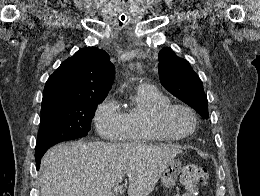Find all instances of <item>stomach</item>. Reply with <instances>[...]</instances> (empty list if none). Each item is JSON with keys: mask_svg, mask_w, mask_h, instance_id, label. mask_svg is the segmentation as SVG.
I'll return each instance as SVG.
<instances>
[{"mask_svg": "<svg viewBox=\"0 0 260 196\" xmlns=\"http://www.w3.org/2000/svg\"><path fill=\"white\" fill-rule=\"evenodd\" d=\"M181 166L182 162H180L178 158H172V160H170L163 174H161L162 186H165V188H174V186H176Z\"/></svg>", "mask_w": 260, "mask_h": 196, "instance_id": "1", "label": "stomach"}]
</instances>
